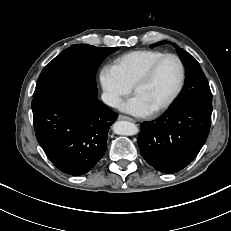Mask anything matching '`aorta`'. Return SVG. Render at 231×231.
<instances>
[{"mask_svg": "<svg viewBox=\"0 0 231 231\" xmlns=\"http://www.w3.org/2000/svg\"><path fill=\"white\" fill-rule=\"evenodd\" d=\"M114 133L118 135L132 136L138 133V127L129 121H117L113 125Z\"/></svg>", "mask_w": 231, "mask_h": 231, "instance_id": "aorta-1", "label": "aorta"}]
</instances>
